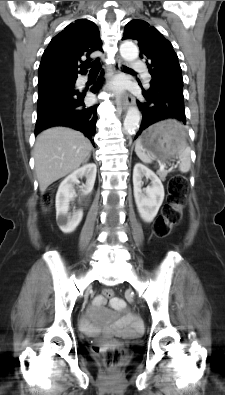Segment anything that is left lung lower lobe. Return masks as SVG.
I'll use <instances>...</instances> for the list:
<instances>
[{"label":"left lung lower lobe","mask_w":225,"mask_h":395,"mask_svg":"<svg viewBox=\"0 0 225 395\" xmlns=\"http://www.w3.org/2000/svg\"><path fill=\"white\" fill-rule=\"evenodd\" d=\"M146 102L138 103L142 110L143 119L136 138L148 126L173 118L179 121L181 127L186 123L183 89L178 85H150L149 90H143Z\"/></svg>","instance_id":"obj_1"}]
</instances>
